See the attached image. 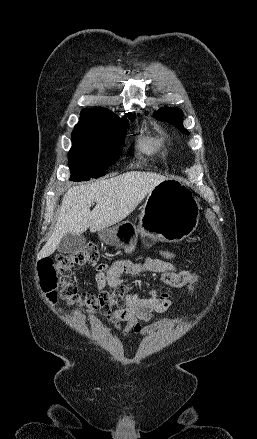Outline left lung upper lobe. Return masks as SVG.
<instances>
[{
	"mask_svg": "<svg viewBox=\"0 0 257 439\" xmlns=\"http://www.w3.org/2000/svg\"><path fill=\"white\" fill-rule=\"evenodd\" d=\"M154 116L161 121H168L172 123L176 128L180 129L183 133L189 134V132L183 127V113L179 108L164 107L154 112Z\"/></svg>",
	"mask_w": 257,
	"mask_h": 439,
	"instance_id": "obj_1",
	"label": "left lung upper lobe"
}]
</instances>
